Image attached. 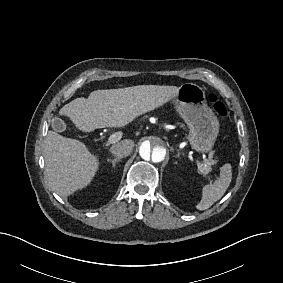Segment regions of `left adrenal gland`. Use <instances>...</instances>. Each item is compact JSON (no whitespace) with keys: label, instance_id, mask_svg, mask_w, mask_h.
<instances>
[{"label":"left adrenal gland","instance_id":"left-adrenal-gland-1","mask_svg":"<svg viewBox=\"0 0 283 283\" xmlns=\"http://www.w3.org/2000/svg\"><path fill=\"white\" fill-rule=\"evenodd\" d=\"M180 156V154L178 153L175 157H179Z\"/></svg>","mask_w":283,"mask_h":283}]
</instances>
